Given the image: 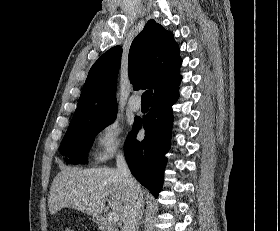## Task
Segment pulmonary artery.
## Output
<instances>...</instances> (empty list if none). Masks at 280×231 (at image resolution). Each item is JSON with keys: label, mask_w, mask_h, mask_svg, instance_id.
I'll return each instance as SVG.
<instances>
[{"label": "pulmonary artery", "mask_w": 280, "mask_h": 231, "mask_svg": "<svg viewBox=\"0 0 280 231\" xmlns=\"http://www.w3.org/2000/svg\"><path fill=\"white\" fill-rule=\"evenodd\" d=\"M135 95L132 96L129 100V107L132 111H138L141 108V104L134 100Z\"/></svg>", "instance_id": "1"}]
</instances>
